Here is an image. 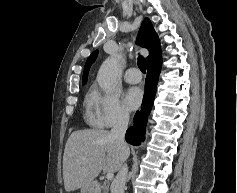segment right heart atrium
Returning a JSON list of instances; mask_svg holds the SVG:
<instances>
[{
	"label": "right heart atrium",
	"mask_w": 237,
	"mask_h": 193,
	"mask_svg": "<svg viewBox=\"0 0 237 193\" xmlns=\"http://www.w3.org/2000/svg\"><path fill=\"white\" fill-rule=\"evenodd\" d=\"M89 120L97 127L109 128L129 121V112L114 90L94 86L88 102Z\"/></svg>",
	"instance_id": "d8ad5b80"
}]
</instances>
